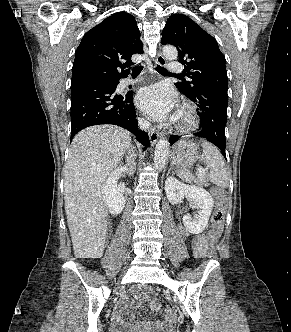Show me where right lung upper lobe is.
<instances>
[{
  "label": "right lung upper lobe",
  "mask_w": 291,
  "mask_h": 332,
  "mask_svg": "<svg viewBox=\"0 0 291 332\" xmlns=\"http://www.w3.org/2000/svg\"><path fill=\"white\" fill-rule=\"evenodd\" d=\"M142 53L135 18L115 13L83 36L75 53L71 87L96 80L118 82L129 74L125 68L133 64L132 55Z\"/></svg>",
  "instance_id": "obj_1"
}]
</instances>
